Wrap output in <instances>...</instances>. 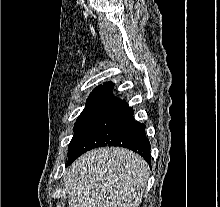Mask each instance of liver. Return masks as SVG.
Returning <instances> with one entry per match:
<instances>
[{
	"instance_id": "1",
	"label": "liver",
	"mask_w": 220,
	"mask_h": 207,
	"mask_svg": "<svg viewBox=\"0 0 220 207\" xmlns=\"http://www.w3.org/2000/svg\"><path fill=\"white\" fill-rule=\"evenodd\" d=\"M149 167L120 147L91 150L72 163L63 181L69 207H139Z\"/></svg>"
}]
</instances>
